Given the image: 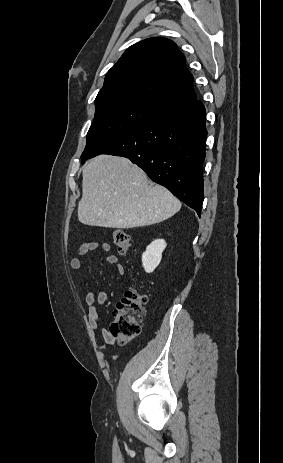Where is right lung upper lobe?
Listing matches in <instances>:
<instances>
[{"mask_svg": "<svg viewBox=\"0 0 283 463\" xmlns=\"http://www.w3.org/2000/svg\"><path fill=\"white\" fill-rule=\"evenodd\" d=\"M192 82L176 44L165 38H149L124 52L107 72L98 95L125 93L164 110L195 99Z\"/></svg>", "mask_w": 283, "mask_h": 463, "instance_id": "1", "label": "right lung upper lobe"}]
</instances>
